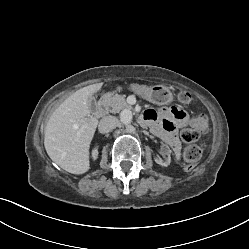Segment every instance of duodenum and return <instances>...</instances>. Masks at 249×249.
<instances>
[{"label":"duodenum","mask_w":249,"mask_h":249,"mask_svg":"<svg viewBox=\"0 0 249 249\" xmlns=\"http://www.w3.org/2000/svg\"><path fill=\"white\" fill-rule=\"evenodd\" d=\"M110 94H106L104 97H102L98 103V114L100 116H104L107 112V104H108V98Z\"/></svg>","instance_id":"410a0bca"}]
</instances>
